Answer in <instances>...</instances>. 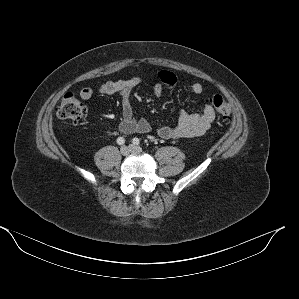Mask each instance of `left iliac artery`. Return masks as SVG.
I'll return each instance as SVG.
<instances>
[{
    "instance_id": "left-iliac-artery-1",
    "label": "left iliac artery",
    "mask_w": 299,
    "mask_h": 299,
    "mask_svg": "<svg viewBox=\"0 0 299 299\" xmlns=\"http://www.w3.org/2000/svg\"><path fill=\"white\" fill-rule=\"evenodd\" d=\"M132 143L134 144V145H138L139 143H140V140L138 139V138H133V140H132Z\"/></svg>"
}]
</instances>
